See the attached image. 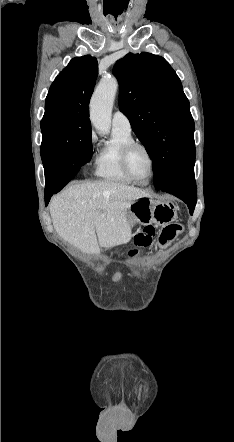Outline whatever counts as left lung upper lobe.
<instances>
[{"label":"left lung upper lobe","instance_id":"5c2ea615","mask_svg":"<svg viewBox=\"0 0 234 442\" xmlns=\"http://www.w3.org/2000/svg\"><path fill=\"white\" fill-rule=\"evenodd\" d=\"M113 74L120 85V110L152 159L158 190L195 150L189 101L163 57L129 53L117 61Z\"/></svg>","mask_w":234,"mask_h":442}]
</instances>
